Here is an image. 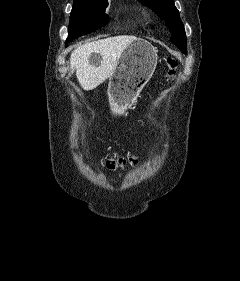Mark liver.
Listing matches in <instances>:
<instances>
[{
  "label": "liver",
  "mask_w": 240,
  "mask_h": 281,
  "mask_svg": "<svg viewBox=\"0 0 240 281\" xmlns=\"http://www.w3.org/2000/svg\"><path fill=\"white\" fill-rule=\"evenodd\" d=\"M136 36L120 35L85 43L77 47L70 56V67L76 69V77L81 87L93 90L106 79L110 78L125 48ZM100 55L99 63L95 64L90 57Z\"/></svg>",
  "instance_id": "liver-1"
}]
</instances>
